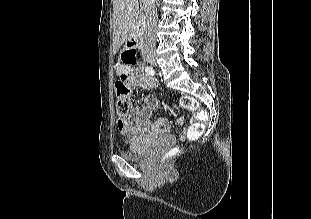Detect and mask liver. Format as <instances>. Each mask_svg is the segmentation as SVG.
<instances>
[{
    "label": "liver",
    "mask_w": 311,
    "mask_h": 219,
    "mask_svg": "<svg viewBox=\"0 0 311 219\" xmlns=\"http://www.w3.org/2000/svg\"><path fill=\"white\" fill-rule=\"evenodd\" d=\"M113 52L132 36L142 7L138 0H113Z\"/></svg>",
    "instance_id": "liver-1"
}]
</instances>
